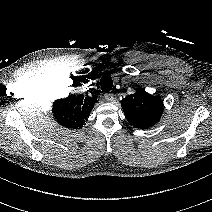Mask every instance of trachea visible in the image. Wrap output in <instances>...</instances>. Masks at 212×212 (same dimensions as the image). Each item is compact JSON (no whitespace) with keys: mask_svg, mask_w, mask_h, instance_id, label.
Listing matches in <instances>:
<instances>
[{"mask_svg":"<svg viewBox=\"0 0 212 212\" xmlns=\"http://www.w3.org/2000/svg\"><path fill=\"white\" fill-rule=\"evenodd\" d=\"M101 89L103 92H109L113 86V80L109 75H103L100 80Z\"/></svg>","mask_w":212,"mask_h":212,"instance_id":"trachea-1","label":"trachea"}]
</instances>
